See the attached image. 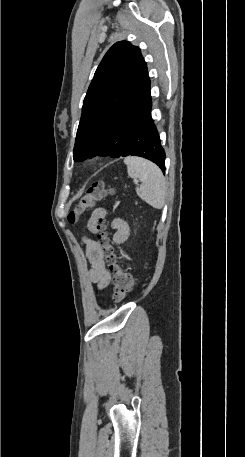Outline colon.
I'll return each instance as SVG.
<instances>
[{"label":"colon","mask_w":245,"mask_h":457,"mask_svg":"<svg viewBox=\"0 0 245 457\" xmlns=\"http://www.w3.org/2000/svg\"><path fill=\"white\" fill-rule=\"evenodd\" d=\"M109 193L110 191L106 188L104 182H95L91 184L83 197L69 212L67 216L68 221L70 223L76 222L84 212L94 206L95 203L105 198ZM99 228V240L102 255L109 264L113 275V299L115 302H120L132 291L134 287V278L128 270L122 268L118 263L116 248L108 237L103 221H100Z\"/></svg>","instance_id":"1"}]
</instances>
